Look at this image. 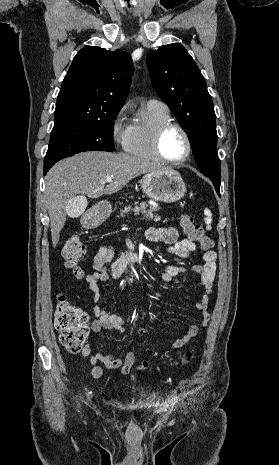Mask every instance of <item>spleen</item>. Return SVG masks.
Segmentation results:
<instances>
[{
  "mask_svg": "<svg viewBox=\"0 0 279 465\" xmlns=\"http://www.w3.org/2000/svg\"><path fill=\"white\" fill-rule=\"evenodd\" d=\"M204 214H205V216H206L205 219H204L205 223H206L207 225L211 224V222H212V213H211V211H210L209 209L206 208V209L204 210Z\"/></svg>",
  "mask_w": 279,
  "mask_h": 465,
  "instance_id": "3e777b00",
  "label": "spleen"
}]
</instances>
